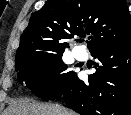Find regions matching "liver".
<instances>
[{"label": "liver", "mask_w": 131, "mask_h": 115, "mask_svg": "<svg viewBox=\"0 0 131 115\" xmlns=\"http://www.w3.org/2000/svg\"><path fill=\"white\" fill-rule=\"evenodd\" d=\"M4 115H75L54 104H39L29 99L12 101Z\"/></svg>", "instance_id": "6515ba94"}]
</instances>
